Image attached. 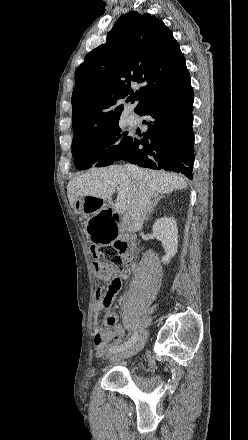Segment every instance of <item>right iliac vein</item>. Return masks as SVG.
Wrapping results in <instances>:
<instances>
[{"mask_svg":"<svg viewBox=\"0 0 248 440\" xmlns=\"http://www.w3.org/2000/svg\"><path fill=\"white\" fill-rule=\"evenodd\" d=\"M147 339V333L145 331L141 332L140 336L136 340L134 344H132L129 348L122 350L117 353H113L111 356L112 361L126 359L135 354H137L143 347Z\"/></svg>","mask_w":248,"mask_h":440,"instance_id":"1","label":"right iliac vein"}]
</instances>
